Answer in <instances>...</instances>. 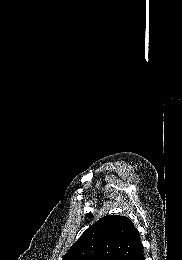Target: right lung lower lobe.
<instances>
[{"mask_svg":"<svg viewBox=\"0 0 182 260\" xmlns=\"http://www.w3.org/2000/svg\"><path fill=\"white\" fill-rule=\"evenodd\" d=\"M131 260H145L143 250L137 253Z\"/></svg>","mask_w":182,"mask_h":260,"instance_id":"98d812e1","label":"right lung lower lobe"}]
</instances>
